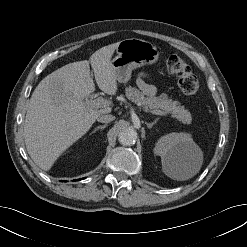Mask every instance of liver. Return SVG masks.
<instances>
[{"instance_id":"1","label":"liver","mask_w":247,"mask_h":247,"mask_svg":"<svg viewBox=\"0 0 247 247\" xmlns=\"http://www.w3.org/2000/svg\"><path fill=\"white\" fill-rule=\"evenodd\" d=\"M118 43L100 48L90 61H78L57 69L33 91L24 122V138L28 154L41 169L49 170L100 114L111 112L110 107L95 108L84 99L95 91L89 64L99 89L109 95L116 94L117 80L111 57Z\"/></svg>"}]
</instances>
